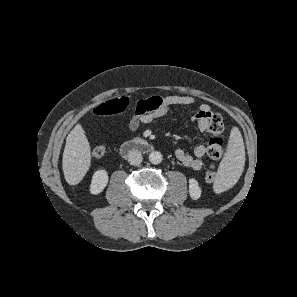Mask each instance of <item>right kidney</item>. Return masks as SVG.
I'll list each match as a JSON object with an SVG mask.
<instances>
[{"mask_svg":"<svg viewBox=\"0 0 297 297\" xmlns=\"http://www.w3.org/2000/svg\"><path fill=\"white\" fill-rule=\"evenodd\" d=\"M108 174L106 170H97L93 176L90 184V192L97 195L103 191L108 184Z\"/></svg>","mask_w":297,"mask_h":297,"instance_id":"ca27d5eb","label":"right kidney"}]
</instances>
